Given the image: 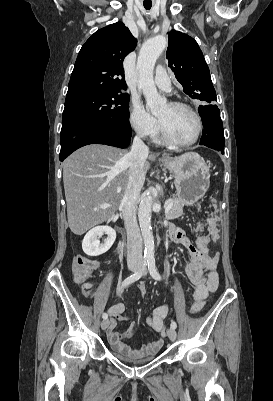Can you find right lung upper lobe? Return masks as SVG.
<instances>
[{"label": "right lung upper lobe", "instance_id": "1", "mask_svg": "<svg viewBox=\"0 0 273 401\" xmlns=\"http://www.w3.org/2000/svg\"><path fill=\"white\" fill-rule=\"evenodd\" d=\"M136 43L121 22L96 31L79 51L67 95L126 89L123 60L135 49Z\"/></svg>", "mask_w": 273, "mask_h": 401}]
</instances>
